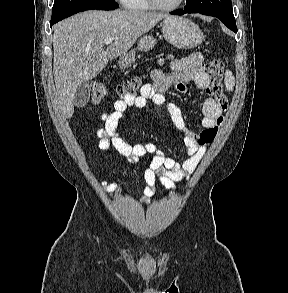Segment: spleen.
Listing matches in <instances>:
<instances>
[{"label": "spleen", "mask_w": 288, "mask_h": 293, "mask_svg": "<svg viewBox=\"0 0 288 293\" xmlns=\"http://www.w3.org/2000/svg\"><path fill=\"white\" fill-rule=\"evenodd\" d=\"M224 83H225V86H226V89L228 91H232L233 88H234V85H235V78L234 76L232 75V72L227 70L225 72V78H224Z\"/></svg>", "instance_id": "3e777b00"}]
</instances>
